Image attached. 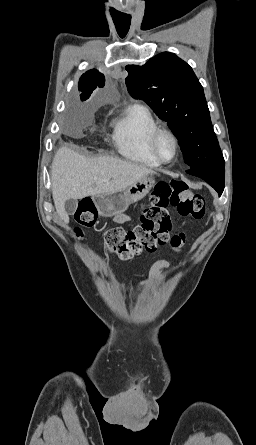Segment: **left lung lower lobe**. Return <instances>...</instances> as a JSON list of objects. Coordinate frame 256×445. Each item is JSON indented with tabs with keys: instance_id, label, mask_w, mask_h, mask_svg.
<instances>
[{
	"instance_id": "left-lung-lower-lobe-1",
	"label": "left lung lower lobe",
	"mask_w": 256,
	"mask_h": 445,
	"mask_svg": "<svg viewBox=\"0 0 256 445\" xmlns=\"http://www.w3.org/2000/svg\"><path fill=\"white\" fill-rule=\"evenodd\" d=\"M188 174L200 177L208 182L218 193L224 190V165L222 166H202L186 171Z\"/></svg>"
}]
</instances>
